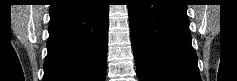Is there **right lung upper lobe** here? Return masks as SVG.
Instances as JSON below:
<instances>
[{
    "label": "right lung upper lobe",
    "mask_w": 237,
    "mask_h": 81,
    "mask_svg": "<svg viewBox=\"0 0 237 81\" xmlns=\"http://www.w3.org/2000/svg\"><path fill=\"white\" fill-rule=\"evenodd\" d=\"M59 1H61V0H56L55 3H56V2H59Z\"/></svg>",
    "instance_id": "cb5924a9"
}]
</instances>
